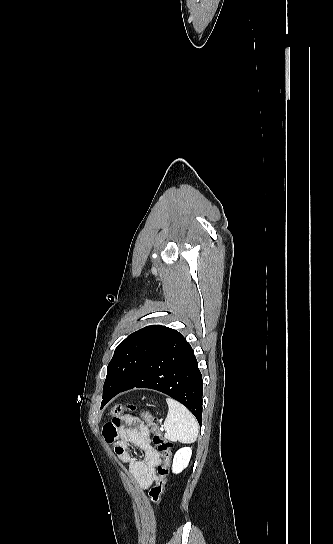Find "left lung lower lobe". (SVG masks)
Wrapping results in <instances>:
<instances>
[{
	"label": "left lung lower lobe",
	"mask_w": 333,
	"mask_h": 544,
	"mask_svg": "<svg viewBox=\"0 0 333 544\" xmlns=\"http://www.w3.org/2000/svg\"><path fill=\"white\" fill-rule=\"evenodd\" d=\"M132 388H150L163 392L185 405L202 420V375L193 349L181 333H177L123 388L103 392L101 408L118 393Z\"/></svg>",
	"instance_id": "left-lung-lower-lobe-1"
}]
</instances>
